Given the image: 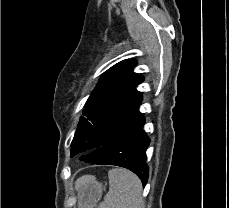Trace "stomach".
I'll return each mask as SVG.
<instances>
[{
  "mask_svg": "<svg viewBox=\"0 0 229 208\" xmlns=\"http://www.w3.org/2000/svg\"><path fill=\"white\" fill-rule=\"evenodd\" d=\"M78 208H95L102 198L103 186L96 178L87 180L83 186L76 188Z\"/></svg>",
  "mask_w": 229,
  "mask_h": 208,
  "instance_id": "stomach-1",
  "label": "stomach"
}]
</instances>
